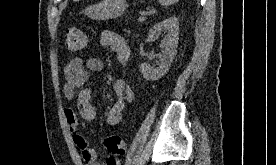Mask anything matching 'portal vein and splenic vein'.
I'll return each instance as SVG.
<instances>
[{"label": "portal vein and splenic vein", "instance_id": "portal-vein-and-splenic-vein-1", "mask_svg": "<svg viewBox=\"0 0 276 165\" xmlns=\"http://www.w3.org/2000/svg\"><path fill=\"white\" fill-rule=\"evenodd\" d=\"M146 15H147V13H141L139 18H138V21H140V22L144 21L146 19Z\"/></svg>", "mask_w": 276, "mask_h": 165}]
</instances>
